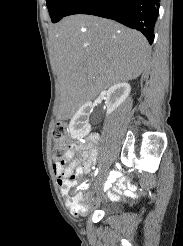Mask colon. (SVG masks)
Returning <instances> with one entry per match:
<instances>
[{
  "label": "colon",
  "instance_id": "obj_1",
  "mask_svg": "<svg viewBox=\"0 0 183 246\" xmlns=\"http://www.w3.org/2000/svg\"><path fill=\"white\" fill-rule=\"evenodd\" d=\"M65 126L63 123H56L52 130V155L56 162L61 164L66 163V153H67V145L65 143ZM75 179L69 178V180L73 183ZM72 208L78 212L87 211L89 204L86 202L85 198L81 195H76L71 202Z\"/></svg>",
  "mask_w": 183,
  "mask_h": 246
}]
</instances>
